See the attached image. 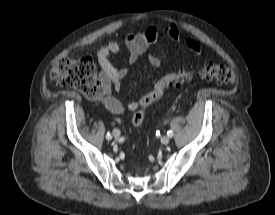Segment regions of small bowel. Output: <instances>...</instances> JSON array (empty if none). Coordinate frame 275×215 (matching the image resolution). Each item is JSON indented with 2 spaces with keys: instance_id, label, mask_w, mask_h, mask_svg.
Segmentation results:
<instances>
[{
  "instance_id": "1",
  "label": "small bowel",
  "mask_w": 275,
  "mask_h": 215,
  "mask_svg": "<svg viewBox=\"0 0 275 215\" xmlns=\"http://www.w3.org/2000/svg\"><path fill=\"white\" fill-rule=\"evenodd\" d=\"M167 33L173 42H180V31L176 24L170 23ZM157 35L158 30L155 25H149L142 32H128L125 34L124 44L129 51V64H135L140 56L146 54L148 62L152 67H160L161 60L152 50L157 40ZM184 43L193 53H201L202 44L199 40L193 37H186ZM120 52L121 47L116 40H109L97 51V60L101 68L100 79L105 93L103 102L110 112L117 115L124 112V106L119 99L112 95V91H119L121 89L122 82L128 73L127 68L117 67L111 59L112 55H118ZM137 107V101L127 103V108L131 111L136 110Z\"/></svg>"
}]
</instances>
